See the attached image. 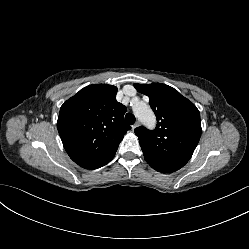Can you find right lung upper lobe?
Masks as SVG:
<instances>
[{"label": "right lung upper lobe", "instance_id": "obj_1", "mask_svg": "<svg viewBox=\"0 0 249 249\" xmlns=\"http://www.w3.org/2000/svg\"><path fill=\"white\" fill-rule=\"evenodd\" d=\"M113 85H90L60 108L57 128L63 146L76 162L100 158L117 150L128 130L127 108L116 100Z\"/></svg>", "mask_w": 249, "mask_h": 249}]
</instances>
